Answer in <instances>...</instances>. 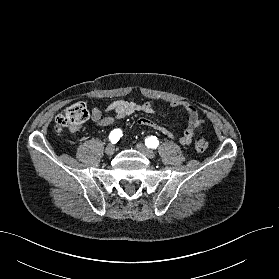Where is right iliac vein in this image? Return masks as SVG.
Returning a JSON list of instances; mask_svg holds the SVG:
<instances>
[{"label": "right iliac vein", "instance_id": "1", "mask_svg": "<svg viewBox=\"0 0 279 279\" xmlns=\"http://www.w3.org/2000/svg\"><path fill=\"white\" fill-rule=\"evenodd\" d=\"M115 152V146L113 144H108L105 148V153L108 156H112Z\"/></svg>", "mask_w": 279, "mask_h": 279}]
</instances>
